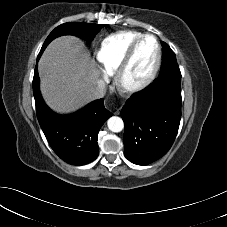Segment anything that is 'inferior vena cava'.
<instances>
[{"instance_id": "602c4592", "label": "inferior vena cava", "mask_w": 227, "mask_h": 227, "mask_svg": "<svg viewBox=\"0 0 227 227\" xmlns=\"http://www.w3.org/2000/svg\"><path fill=\"white\" fill-rule=\"evenodd\" d=\"M106 93V85L104 83V81L99 80L95 86V88L92 89L91 91V97L93 99H99L104 97Z\"/></svg>"}]
</instances>
